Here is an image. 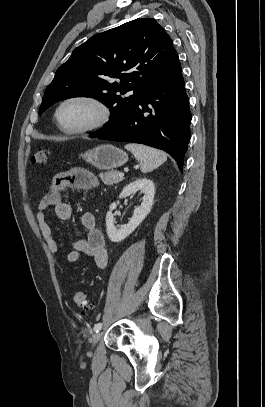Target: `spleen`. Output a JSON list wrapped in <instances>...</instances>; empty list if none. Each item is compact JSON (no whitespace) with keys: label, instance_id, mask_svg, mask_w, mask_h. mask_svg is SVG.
Masks as SVG:
<instances>
[{"label":"spleen","instance_id":"obj_1","mask_svg":"<svg viewBox=\"0 0 265 407\" xmlns=\"http://www.w3.org/2000/svg\"><path fill=\"white\" fill-rule=\"evenodd\" d=\"M125 149L140 162V170L143 173L153 171L167 160V155L163 151L149 146L129 143L125 145Z\"/></svg>","mask_w":265,"mask_h":407}]
</instances>
